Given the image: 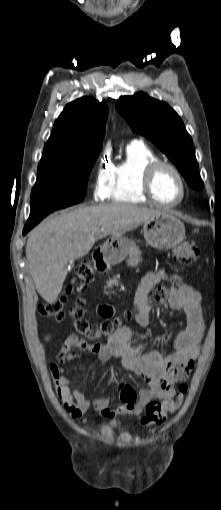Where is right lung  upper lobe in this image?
Here are the masks:
<instances>
[{
    "mask_svg": "<svg viewBox=\"0 0 221 510\" xmlns=\"http://www.w3.org/2000/svg\"><path fill=\"white\" fill-rule=\"evenodd\" d=\"M107 114L106 104L89 97L66 105L55 121L41 159L102 148Z\"/></svg>",
    "mask_w": 221,
    "mask_h": 510,
    "instance_id": "1",
    "label": "right lung upper lobe"
}]
</instances>
